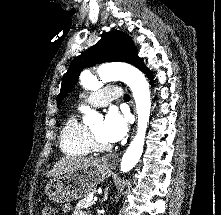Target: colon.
<instances>
[{
	"label": "colon",
	"instance_id": "5ec220e1",
	"mask_svg": "<svg viewBox=\"0 0 221 215\" xmlns=\"http://www.w3.org/2000/svg\"><path fill=\"white\" fill-rule=\"evenodd\" d=\"M41 215H56V209L51 205H45L42 208Z\"/></svg>",
	"mask_w": 221,
	"mask_h": 215
}]
</instances>
